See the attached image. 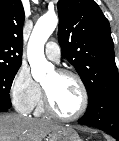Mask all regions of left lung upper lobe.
<instances>
[{
  "label": "left lung upper lobe",
  "mask_w": 119,
  "mask_h": 141,
  "mask_svg": "<svg viewBox=\"0 0 119 141\" xmlns=\"http://www.w3.org/2000/svg\"><path fill=\"white\" fill-rule=\"evenodd\" d=\"M58 41L80 75L89 102L119 90L109 21L93 0H59Z\"/></svg>",
  "instance_id": "1"
}]
</instances>
